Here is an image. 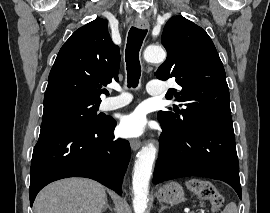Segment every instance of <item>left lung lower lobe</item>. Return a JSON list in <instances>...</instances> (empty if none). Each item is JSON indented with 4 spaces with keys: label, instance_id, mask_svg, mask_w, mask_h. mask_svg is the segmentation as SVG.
Instances as JSON below:
<instances>
[{
    "label": "left lung lower lobe",
    "instance_id": "0a47b994",
    "mask_svg": "<svg viewBox=\"0 0 270 213\" xmlns=\"http://www.w3.org/2000/svg\"><path fill=\"white\" fill-rule=\"evenodd\" d=\"M159 121L163 133L154 184L179 177L201 176L228 183L242 198L233 124L197 121L177 130Z\"/></svg>",
    "mask_w": 270,
    "mask_h": 213
}]
</instances>
